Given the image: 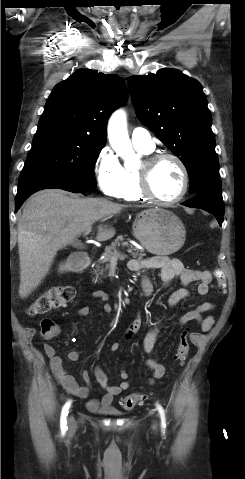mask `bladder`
<instances>
[{
  "mask_svg": "<svg viewBox=\"0 0 245 479\" xmlns=\"http://www.w3.org/2000/svg\"><path fill=\"white\" fill-rule=\"evenodd\" d=\"M108 413L112 415H121L119 411H108Z\"/></svg>",
  "mask_w": 245,
  "mask_h": 479,
  "instance_id": "bladder-1",
  "label": "bladder"
}]
</instances>
